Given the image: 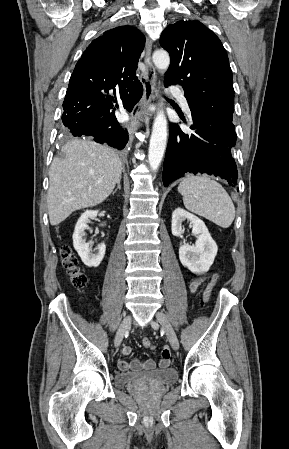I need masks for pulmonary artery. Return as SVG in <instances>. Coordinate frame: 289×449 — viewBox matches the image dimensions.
Wrapping results in <instances>:
<instances>
[{"label": "pulmonary artery", "instance_id": "obj_1", "mask_svg": "<svg viewBox=\"0 0 289 449\" xmlns=\"http://www.w3.org/2000/svg\"><path fill=\"white\" fill-rule=\"evenodd\" d=\"M173 92H174V95L177 97V99H178L180 105L182 106L183 110L185 112L189 113L190 112L189 105H188L187 99L185 98L183 92L180 91V90H177V89L174 90Z\"/></svg>", "mask_w": 289, "mask_h": 449}]
</instances>
